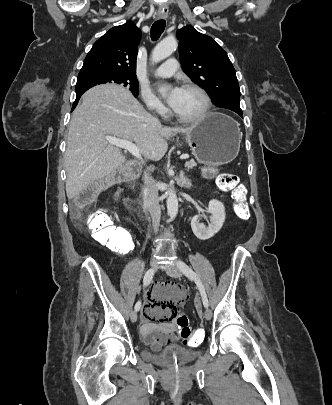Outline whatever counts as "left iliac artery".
Returning a JSON list of instances; mask_svg holds the SVG:
<instances>
[{
	"mask_svg": "<svg viewBox=\"0 0 332 405\" xmlns=\"http://www.w3.org/2000/svg\"><path fill=\"white\" fill-rule=\"evenodd\" d=\"M177 266L186 277H188L190 280H193L196 283V285L200 291L201 297H202L203 305L205 308H208V306H209L208 298H207L204 286H203L201 280L199 279V277L197 276V274L192 270L191 267H189L183 261H178Z\"/></svg>",
	"mask_w": 332,
	"mask_h": 405,
	"instance_id": "44dca946",
	"label": "left iliac artery"
}]
</instances>
